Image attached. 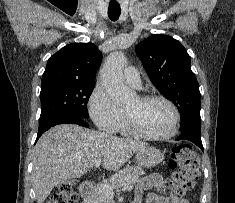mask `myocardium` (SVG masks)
I'll list each match as a JSON object with an SVG mask.
<instances>
[{"label":"myocardium","mask_w":235,"mask_h":203,"mask_svg":"<svg viewBox=\"0 0 235 203\" xmlns=\"http://www.w3.org/2000/svg\"><path fill=\"white\" fill-rule=\"evenodd\" d=\"M138 98L143 102L161 101V102L165 103L166 105H168L173 113V122H172L171 128L168 132H166L164 134H160V135L149 134V133L143 131L137 125V123L135 122L133 117L130 115V113L125 110V120H126V124H127V127L129 129L130 133H132L133 135L138 136L140 138L147 139V140H153V141L168 140V139L172 138L173 136H175L178 129H179V125H180V113H179L177 106L170 99H168L164 96H161V95L147 94V95H141Z\"/></svg>","instance_id":"f54148a6"}]
</instances>
